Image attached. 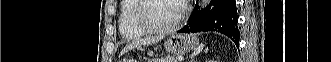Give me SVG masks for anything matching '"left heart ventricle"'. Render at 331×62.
I'll list each match as a JSON object with an SVG mask.
<instances>
[{
	"instance_id": "b2bd125f",
	"label": "left heart ventricle",
	"mask_w": 331,
	"mask_h": 62,
	"mask_svg": "<svg viewBox=\"0 0 331 62\" xmlns=\"http://www.w3.org/2000/svg\"><path fill=\"white\" fill-rule=\"evenodd\" d=\"M180 2L176 0H150L144 15L153 25H169L179 15Z\"/></svg>"
}]
</instances>
